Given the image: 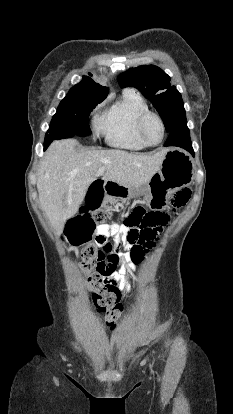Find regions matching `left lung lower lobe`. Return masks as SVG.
<instances>
[{
    "label": "left lung lower lobe",
    "mask_w": 233,
    "mask_h": 414,
    "mask_svg": "<svg viewBox=\"0 0 233 414\" xmlns=\"http://www.w3.org/2000/svg\"><path fill=\"white\" fill-rule=\"evenodd\" d=\"M165 146H177L184 148L194 155L190 133L187 127L186 116L181 118L170 130V135L165 143Z\"/></svg>",
    "instance_id": "obj_1"
}]
</instances>
